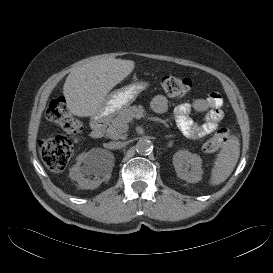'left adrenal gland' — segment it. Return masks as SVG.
<instances>
[{
    "label": "left adrenal gland",
    "instance_id": "obj_1",
    "mask_svg": "<svg viewBox=\"0 0 273 273\" xmlns=\"http://www.w3.org/2000/svg\"><path fill=\"white\" fill-rule=\"evenodd\" d=\"M165 137H166V138H170V137H172V135H166Z\"/></svg>",
    "mask_w": 273,
    "mask_h": 273
}]
</instances>
